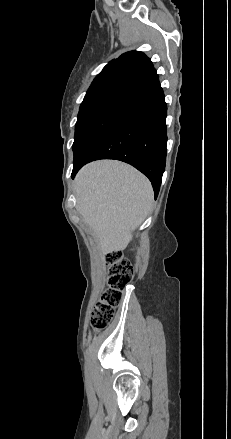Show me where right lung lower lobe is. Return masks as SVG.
Segmentation results:
<instances>
[{
	"label": "right lung lower lobe",
	"mask_w": 231,
	"mask_h": 439,
	"mask_svg": "<svg viewBox=\"0 0 231 439\" xmlns=\"http://www.w3.org/2000/svg\"><path fill=\"white\" fill-rule=\"evenodd\" d=\"M135 98L142 109L141 114L116 124L100 135L86 153L74 161L72 177L93 160L117 159L145 174L157 197L166 164L167 107L159 82L140 91Z\"/></svg>",
	"instance_id": "obj_1"
}]
</instances>
